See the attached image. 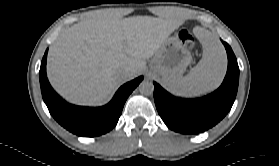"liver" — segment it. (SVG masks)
I'll list each match as a JSON object with an SVG mask.
<instances>
[{"instance_id": "1", "label": "liver", "mask_w": 279, "mask_h": 166, "mask_svg": "<svg viewBox=\"0 0 279 166\" xmlns=\"http://www.w3.org/2000/svg\"><path fill=\"white\" fill-rule=\"evenodd\" d=\"M181 24L172 12L165 18L105 14L74 24L49 50V82L73 103L98 105L125 80L118 76L121 68H131L126 79L139 74Z\"/></svg>"}]
</instances>
